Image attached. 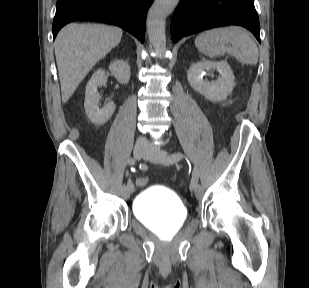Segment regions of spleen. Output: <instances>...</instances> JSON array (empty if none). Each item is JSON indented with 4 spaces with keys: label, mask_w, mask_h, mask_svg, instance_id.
Returning <instances> with one entry per match:
<instances>
[{
    "label": "spleen",
    "mask_w": 309,
    "mask_h": 288,
    "mask_svg": "<svg viewBox=\"0 0 309 288\" xmlns=\"http://www.w3.org/2000/svg\"><path fill=\"white\" fill-rule=\"evenodd\" d=\"M195 46L210 58L228 53L246 65H256L259 58L253 39L246 31L235 26L206 30L196 37Z\"/></svg>",
    "instance_id": "3e777b00"
}]
</instances>
